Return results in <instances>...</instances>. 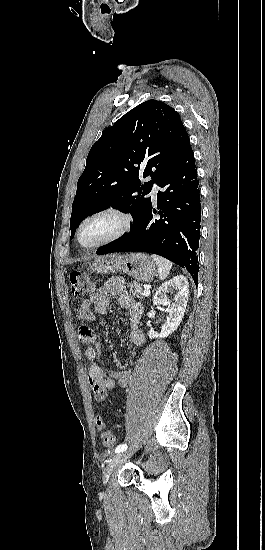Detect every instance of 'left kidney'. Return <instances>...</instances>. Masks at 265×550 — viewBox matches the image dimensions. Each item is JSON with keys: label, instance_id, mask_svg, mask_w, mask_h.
<instances>
[{"label": "left kidney", "instance_id": "1", "mask_svg": "<svg viewBox=\"0 0 265 550\" xmlns=\"http://www.w3.org/2000/svg\"><path fill=\"white\" fill-rule=\"evenodd\" d=\"M176 291L173 302L167 299V293ZM189 296V283L186 277L178 275L163 283L153 297L154 305L168 306L167 320L161 328V332L151 329L148 332L149 338H165L171 335L182 322Z\"/></svg>", "mask_w": 265, "mask_h": 550}]
</instances>
